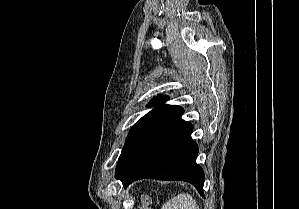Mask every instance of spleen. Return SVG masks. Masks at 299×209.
<instances>
[{
    "instance_id": "spleen-1",
    "label": "spleen",
    "mask_w": 299,
    "mask_h": 209,
    "mask_svg": "<svg viewBox=\"0 0 299 209\" xmlns=\"http://www.w3.org/2000/svg\"><path fill=\"white\" fill-rule=\"evenodd\" d=\"M162 209H199V207L190 194L181 193L166 202Z\"/></svg>"
}]
</instances>
